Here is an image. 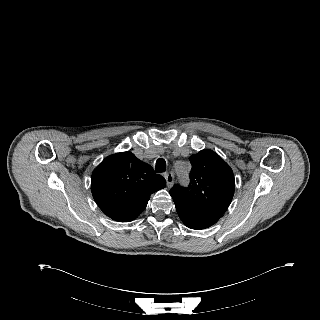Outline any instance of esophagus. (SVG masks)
<instances>
[{
	"label": "esophagus",
	"instance_id": "esophagus-1",
	"mask_svg": "<svg viewBox=\"0 0 320 320\" xmlns=\"http://www.w3.org/2000/svg\"><path fill=\"white\" fill-rule=\"evenodd\" d=\"M164 177L166 179V183L168 187H171L173 185L174 182V175L172 172H167L164 174Z\"/></svg>",
	"mask_w": 320,
	"mask_h": 320
}]
</instances>
